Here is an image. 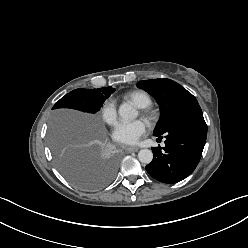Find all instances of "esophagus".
<instances>
[{"label": "esophagus", "instance_id": "esophagus-1", "mask_svg": "<svg viewBox=\"0 0 248 248\" xmlns=\"http://www.w3.org/2000/svg\"><path fill=\"white\" fill-rule=\"evenodd\" d=\"M124 149L126 152H137L139 150L137 147H125Z\"/></svg>", "mask_w": 248, "mask_h": 248}]
</instances>
